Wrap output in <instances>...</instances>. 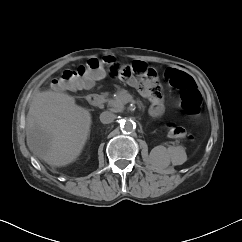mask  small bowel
Wrapping results in <instances>:
<instances>
[{
    "label": "small bowel",
    "mask_w": 242,
    "mask_h": 242,
    "mask_svg": "<svg viewBox=\"0 0 242 242\" xmlns=\"http://www.w3.org/2000/svg\"><path fill=\"white\" fill-rule=\"evenodd\" d=\"M135 62H142V61H135ZM142 63H145V62H142ZM123 68H124V65L121 66V68H120V75H119L120 79L126 81L130 86H133V87H138V86H139L140 89H141V91H142L143 93H146V90H145L142 86H140V82H139L137 79H135V78H133V77H131V78H124V77L121 75ZM173 69H175V68H173ZM97 78H99V76H98ZM97 78H96V79H97ZM94 83H95V80L93 81L92 85L89 86L88 88L92 87Z\"/></svg>",
    "instance_id": "1"
}]
</instances>
